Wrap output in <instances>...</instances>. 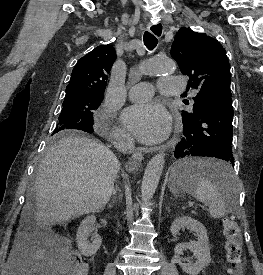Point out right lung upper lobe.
I'll use <instances>...</instances> for the list:
<instances>
[{
    "label": "right lung upper lobe",
    "instance_id": "obj_1",
    "mask_svg": "<svg viewBox=\"0 0 263 275\" xmlns=\"http://www.w3.org/2000/svg\"><path fill=\"white\" fill-rule=\"evenodd\" d=\"M115 59V49L109 44L98 46L80 58L72 71L65 98L78 95L103 97Z\"/></svg>",
    "mask_w": 263,
    "mask_h": 275
}]
</instances>
